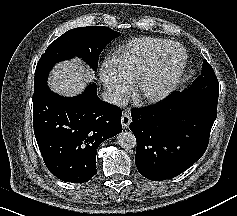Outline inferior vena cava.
Listing matches in <instances>:
<instances>
[{"label": "inferior vena cava", "mask_w": 237, "mask_h": 216, "mask_svg": "<svg viewBox=\"0 0 237 216\" xmlns=\"http://www.w3.org/2000/svg\"><path fill=\"white\" fill-rule=\"evenodd\" d=\"M101 97L103 101L118 106L120 108H124L128 104L127 99L114 90H104L101 94Z\"/></svg>", "instance_id": "obj_1"}]
</instances>
